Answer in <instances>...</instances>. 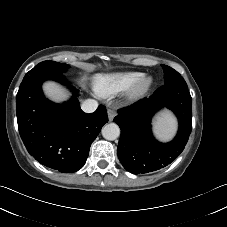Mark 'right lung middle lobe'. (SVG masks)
Wrapping results in <instances>:
<instances>
[{
    "label": "right lung middle lobe",
    "instance_id": "obj_1",
    "mask_svg": "<svg viewBox=\"0 0 227 227\" xmlns=\"http://www.w3.org/2000/svg\"><path fill=\"white\" fill-rule=\"evenodd\" d=\"M68 68V65L58 63L55 61H43L37 64L32 70H30L25 76L34 75L38 73H55L61 74Z\"/></svg>",
    "mask_w": 227,
    "mask_h": 227
}]
</instances>
